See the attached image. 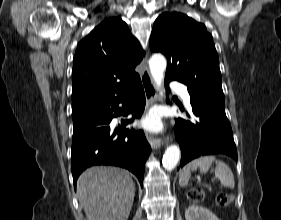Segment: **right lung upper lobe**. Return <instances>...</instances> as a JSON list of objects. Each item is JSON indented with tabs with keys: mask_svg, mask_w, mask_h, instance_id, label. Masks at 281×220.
<instances>
[{
	"mask_svg": "<svg viewBox=\"0 0 281 220\" xmlns=\"http://www.w3.org/2000/svg\"><path fill=\"white\" fill-rule=\"evenodd\" d=\"M144 51L120 17L104 20L77 46L72 117L119 97L139 81L135 67Z\"/></svg>",
	"mask_w": 281,
	"mask_h": 220,
	"instance_id": "1",
	"label": "right lung upper lobe"
}]
</instances>
